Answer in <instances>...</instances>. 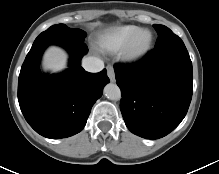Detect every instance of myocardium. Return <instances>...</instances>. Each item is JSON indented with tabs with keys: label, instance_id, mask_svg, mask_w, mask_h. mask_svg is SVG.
Instances as JSON below:
<instances>
[{
	"label": "myocardium",
	"instance_id": "obj_1",
	"mask_svg": "<svg viewBox=\"0 0 219 174\" xmlns=\"http://www.w3.org/2000/svg\"><path fill=\"white\" fill-rule=\"evenodd\" d=\"M143 33L148 34V38L142 45H138V39ZM153 39V34L149 29H139L121 49L122 58L128 62H135L142 59L150 51Z\"/></svg>",
	"mask_w": 219,
	"mask_h": 174
}]
</instances>
